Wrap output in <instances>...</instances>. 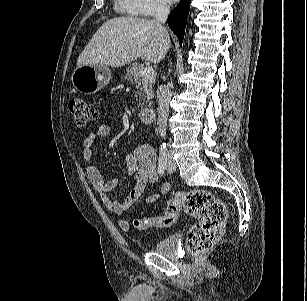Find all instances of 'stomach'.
<instances>
[{
  "mask_svg": "<svg viewBox=\"0 0 307 301\" xmlns=\"http://www.w3.org/2000/svg\"><path fill=\"white\" fill-rule=\"evenodd\" d=\"M111 79V72L104 65H82L71 76L74 88L84 94H94L105 87Z\"/></svg>",
  "mask_w": 307,
  "mask_h": 301,
  "instance_id": "stomach-1",
  "label": "stomach"
}]
</instances>
